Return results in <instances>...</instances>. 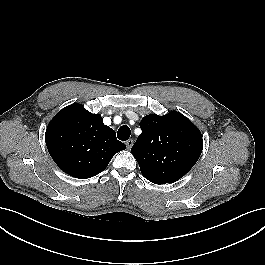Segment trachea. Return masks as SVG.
Instances as JSON below:
<instances>
[{"label":"trachea","instance_id":"obj_1","mask_svg":"<svg viewBox=\"0 0 265 265\" xmlns=\"http://www.w3.org/2000/svg\"><path fill=\"white\" fill-rule=\"evenodd\" d=\"M130 134H131L130 128L127 125H123L119 128L117 132V137L121 141H126L129 139Z\"/></svg>","mask_w":265,"mask_h":265}]
</instances>
